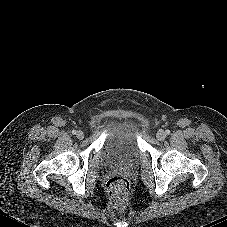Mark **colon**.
Segmentation results:
<instances>
[{
	"mask_svg": "<svg viewBox=\"0 0 227 227\" xmlns=\"http://www.w3.org/2000/svg\"><path fill=\"white\" fill-rule=\"evenodd\" d=\"M106 191L110 204L118 209L128 208L132 187L130 181L123 175L111 176L106 183Z\"/></svg>",
	"mask_w": 227,
	"mask_h": 227,
	"instance_id": "1",
	"label": "colon"
}]
</instances>
